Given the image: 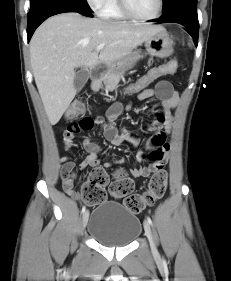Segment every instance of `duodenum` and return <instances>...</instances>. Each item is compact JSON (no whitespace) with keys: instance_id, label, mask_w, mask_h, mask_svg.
Returning <instances> with one entry per match:
<instances>
[{"instance_id":"obj_1","label":"duodenum","mask_w":231,"mask_h":281,"mask_svg":"<svg viewBox=\"0 0 231 281\" xmlns=\"http://www.w3.org/2000/svg\"><path fill=\"white\" fill-rule=\"evenodd\" d=\"M104 73V68L103 67H95L92 71V79L98 80Z\"/></svg>"}]
</instances>
